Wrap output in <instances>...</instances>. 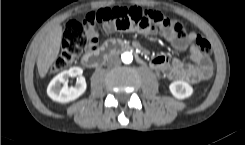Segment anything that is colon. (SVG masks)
<instances>
[{"label": "colon", "mask_w": 245, "mask_h": 145, "mask_svg": "<svg viewBox=\"0 0 245 145\" xmlns=\"http://www.w3.org/2000/svg\"><path fill=\"white\" fill-rule=\"evenodd\" d=\"M95 21H110L123 31L138 30L150 31L160 24L170 25L171 22L156 11H147L140 7H115L101 9L93 14ZM175 30L180 33L182 26L174 25ZM88 22L70 20L65 24L61 52L52 64L51 71L56 72L64 69L81 54L85 47L94 49L98 38L95 34L87 32ZM193 44L202 55H209L211 46L203 35H197ZM208 69L205 75H208Z\"/></svg>", "instance_id": "colon-1"}]
</instances>
